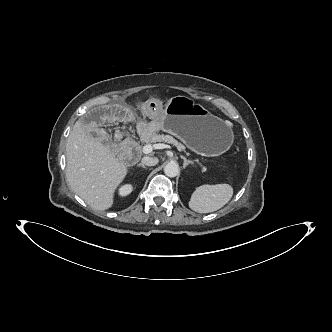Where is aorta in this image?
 Returning a JSON list of instances; mask_svg holds the SVG:
<instances>
[{"mask_svg":"<svg viewBox=\"0 0 332 332\" xmlns=\"http://www.w3.org/2000/svg\"><path fill=\"white\" fill-rule=\"evenodd\" d=\"M179 171V167L176 163L170 162L164 167V173L167 177H176Z\"/></svg>","mask_w":332,"mask_h":332,"instance_id":"obj_1","label":"aorta"}]
</instances>
